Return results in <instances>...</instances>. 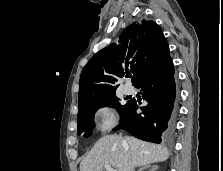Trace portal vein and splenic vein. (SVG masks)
I'll return each instance as SVG.
<instances>
[{
  "label": "portal vein and splenic vein",
  "instance_id": "obj_1",
  "mask_svg": "<svg viewBox=\"0 0 223 171\" xmlns=\"http://www.w3.org/2000/svg\"><path fill=\"white\" fill-rule=\"evenodd\" d=\"M104 168L106 169V171H117L116 169H113L109 164H105Z\"/></svg>",
  "mask_w": 223,
  "mask_h": 171
}]
</instances>
